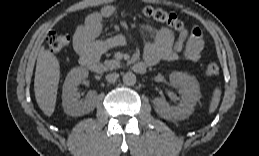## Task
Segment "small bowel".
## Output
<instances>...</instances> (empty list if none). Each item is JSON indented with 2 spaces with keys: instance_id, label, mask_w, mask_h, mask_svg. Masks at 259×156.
<instances>
[{
  "instance_id": "small-bowel-1",
  "label": "small bowel",
  "mask_w": 259,
  "mask_h": 156,
  "mask_svg": "<svg viewBox=\"0 0 259 156\" xmlns=\"http://www.w3.org/2000/svg\"><path fill=\"white\" fill-rule=\"evenodd\" d=\"M115 14L113 5H105L99 11L89 14L74 33V47L80 57L90 55L98 59L106 50L122 46L125 39L116 35L106 40H95L101 32L103 21ZM139 29L147 36L144 47V63L155 65L159 62H173L179 59L196 62L204 50L201 30L193 27L184 29L177 39L173 31L166 27L140 24Z\"/></svg>"
}]
</instances>
